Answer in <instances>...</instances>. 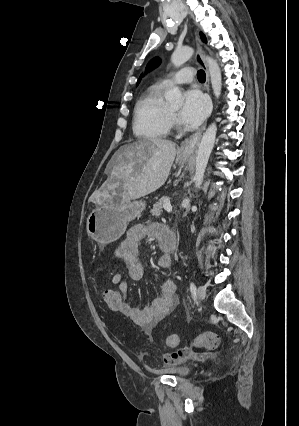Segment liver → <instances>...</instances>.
I'll use <instances>...</instances> for the list:
<instances>
[{"mask_svg":"<svg viewBox=\"0 0 299 426\" xmlns=\"http://www.w3.org/2000/svg\"><path fill=\"white\" fill-rule=\"evenodd\" d=\"M176 154L175 143L162 138L141 139L123 146L106 183L108 190L122 182L123 202L156 191L167 180ZM103 195L109 197L108 192Z\"/></svg>","mask_w":299,"mask_h":426,"instance_id":"liver-1","label":"liver"}]
</instances>
